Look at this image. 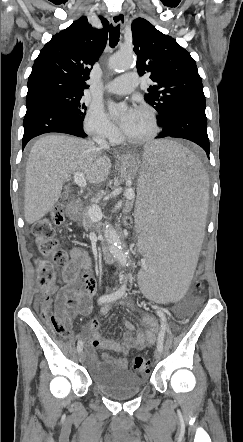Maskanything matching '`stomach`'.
<instances>
[{
	"label": "stomach",
	"instance_id": "obj_1",
	"mask_svg": "<svg viewBox=\"0 0 243 442\" xmlns=\"http://www.w3.org/2000/svg\"><path fill=\"white\" fill-rule=\"evenodd\" d=\"M139 159L136 155L127 154L119 160V172L122 180L133 179L138 175L136 167L139 163Z\"/></svg>",
	"mask_w": 243,
	"mask_h": 442
}]
</instances>
